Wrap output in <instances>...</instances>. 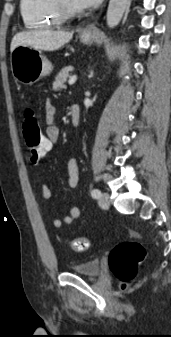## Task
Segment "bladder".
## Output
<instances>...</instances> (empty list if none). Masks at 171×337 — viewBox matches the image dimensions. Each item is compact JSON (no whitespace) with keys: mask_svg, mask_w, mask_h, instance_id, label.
Wrapping results in <instances>:
<instances>
[{"mask_svg":"<svg viewBox=\"0 0 171 337\" xmlns=\"http://www.w3.org/2000/svg\"><path fill=\"white\" fill-rule=\"evenodd\" d=\"M71 271L75 274L86 277H97L101 272V263L99 260H90L71 266Z\"/></svg>","mask_w":171,"mask_h":337,"instance_id":"1","label":"bladder"}]
</instances>
